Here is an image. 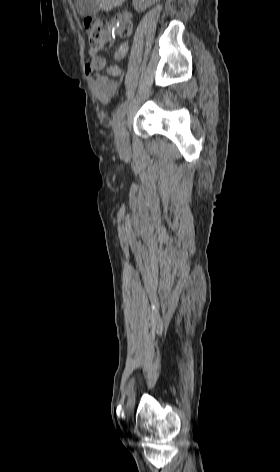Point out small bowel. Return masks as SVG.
I'll use <instances>...</instances> for the list:
<instances>
[{
    "label": "small bowel",
    "mask_w": 280,
    "mask_h": 472,
    "mask_svg": "<svg viewBox=\"0 0 280 472\" xmlns=\"http://www.w3.org/2000/svg\"><path fill=\"white\" fill-rule=\"evenodd\" d=\"M128 50L127 44L122 45L116 52V59L123 58ZM100 49H91L89 51V62L84 66V72L87 75V82L92 93L103 103L110 102L119 89L117 81L112 77L121 74L119 66L108 64L104 57L100 55Z\"/></svg>",
    "instance_id": "obj_1"
}]
</instances>
